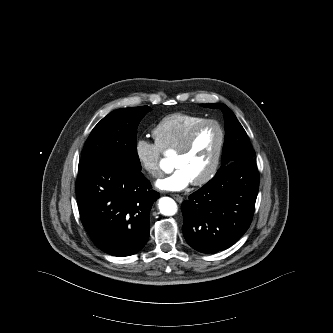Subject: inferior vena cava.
<instances>
[{"label": "inferior vena cava", "instance_id": "inferior-vena-cava-1", "mask_svg": "<svg viewBox=\"0 0 333 333\" xmlns=\"http://www.w3.org/2000/svg\"><path fill=\"white\" fill-rule=\"evenodd\" d=\"M155 176H157V177H162V176H163V173H162L161 171H159V172H157V173L155 174Z\"/></svg>", "mask_w": 333, "mask_h": 333}]
</instances>
